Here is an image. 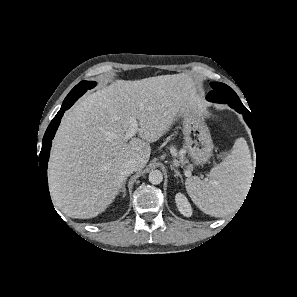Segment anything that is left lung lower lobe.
<instances>
[{"instance_id": "left-lung-lower-lobe-1", "label": "left lung lower lobe", "mask_w": 297, "mask_h": 297, "mask_svg": "<svg viewBox=\"0 0 297 297\" xmlns=\"http://www.w3.org/2000/svg\"><path fill=\"white\" fill-rule=\"evenodd\" d=\"M235 110L237 112L241 113L244 116V119H245L246 123L251 128V132H252V135H253V138H254L255 146L257 147V139H256L255 128H254V123H253V118H252L251 113L248 110H242V109H239V108H236ZM256 152H257L256 167H257V164H258V151H257V148H256Z\"/></svg>"}]
</instances>
